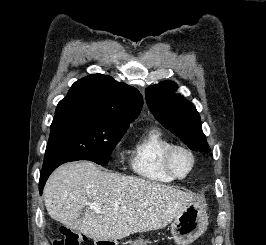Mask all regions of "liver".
<instances>
[{
	"mask_svg": "<svg viewBox=\"0 0 266 245\" xmlns=\"http://www.w3.org/2000/svg\"><path fill=\"white\" fill-rule=\"evenodd\" d=\"M43 197L51 219L94 241L158 231L194 201L192 195L176 187L106 173L90 161L58 167L50 175ZM91 203H97L101 213L92 211ZM82 209L84 217H80Z\"/></svg>",
	"mask_w": 266,
	"mask_h": 245,
	"instance_id": "obj_1",
	"label": "liver"
}]
</instances>
